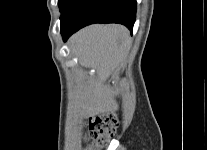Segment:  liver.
<instances>
[{
	"instance_id": "obj_1",
	"label": "liver",
	"mask_w": 207,
	"mask_h": 150,
	"mask_svg": "<svg viewBox=\"0 0 207 150\" xmlns=\"http://www.w3.org/2000/svg\"><path fill=\"white\" fill-rule=\"evenodd\" d=\"M82 67L96 69V77L80 74L71 93L74 113L81 118L116 110L117 102L105 82L129 48L127 28L117 24L88 26L69 40Z\"/></svg>"
}]
</instances>
